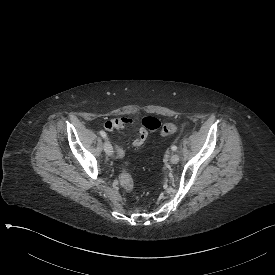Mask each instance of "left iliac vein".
<instances>
[{"label":"left iliac vein","instance_id":"4c4485c4","mask_svg":"<svg viewBox=\"0 0 275 275\" xmlns=\"http://www.w3.org/2000/svg\"><path fill=\"white\" fill-rule=\"evenodd\" d=\"M170 162L172 164H177L179 162V155L177 153L172 154Z\"/></svg>","mask_w":275,"mask_h":275}]
</instances>
